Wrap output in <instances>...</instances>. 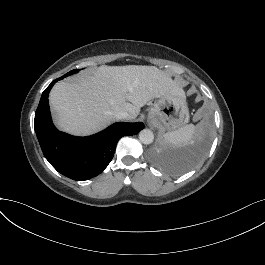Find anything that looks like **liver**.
I'll use <instances>...</instances> for the list:
<instances>
[{
	"label": "liver",
	"mask_w": 265,
	"mask_h": 265,
	"mask_svg": "<svg viewBox=\"0 0 265 265\" xmlns=\"http://www.w3.org/2000/svg\"><path fill=\"white\" fill-rule=\"evenodd\" d=\"M161 96L183 100L185 92L165 71L154 66L102 65L82 73L77 82L56 83L49 102L59 129L90 135L114 122V111H126L128 120H133L141 107Z\"/></svg>",
	"instance_id": "6515ba94"
}]
</instances>
